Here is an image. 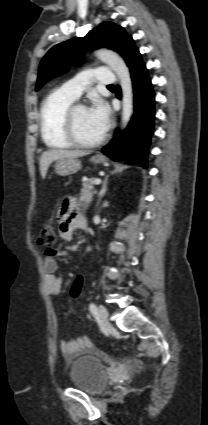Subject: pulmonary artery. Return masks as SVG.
<instances>
[{
  "label": "pulmonary artery",
  "instance_id": "pulmonary-artery-1",
  "mask_svg": "<svg viewBox=\"0 0 208 425\" xmlns=\"http://www.w3.org/2000/svg\"><path fill=\"white\" fill-rule=\"evenodd\" d=\"M115 81L113 71L106 67H98L81 72L76 77L65 82L60 90L76 100L93 82L113 85Z\"/></svg>",
  "mask_w": 208,
  "mask_h": 425
}]
</instances>
